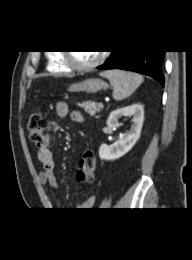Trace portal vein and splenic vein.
Returning <instances> with one entry per match:
<instances>
[{
	"instance_id": "1",
	"label": "portal vein and splenic vein",
	"mask_w": 192,
	"mask_h": 260,
	"mask_svg": "<svg viewBox=\"0 0 192 260\" xmlns=\"http://www.w3.org/2000/svg\"><path fill=\"white\" fill-rule=\"evenodd\" d=\"M98 106H99V107H103V103H102V102H99V103H98Z\"/></svg>"
}]
</instances>
